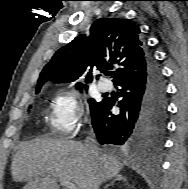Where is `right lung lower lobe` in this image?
Listing matches in <instances>:
<instances>
[{
	"label": "right lung lower lobe",
	"instance_id": "1",
	"mask_svg": "<svg viewBox=\"0 0 188 189\" xmlns=\"http://www.w3.org/2000/svg\"><path fill=\"white\" fill-rule=\"evenodd\" d=\"M121 100L114 115V102L103 99L92 115V125L101 144L125 145L135 151L156 150L166 131L167 97L160 67L151 54L143 73L116 84Z\"/></svg>",
	"mask_w": 188,
	"mask_h": 189
}]
</instances>
